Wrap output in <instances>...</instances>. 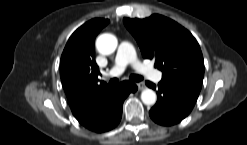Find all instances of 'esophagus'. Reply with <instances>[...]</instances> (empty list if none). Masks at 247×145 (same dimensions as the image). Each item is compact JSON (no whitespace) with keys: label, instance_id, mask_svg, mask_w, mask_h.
Here are the masks:
<instances>
[{"label":"esophagus","instance_id":"1","mask_svg":"<svg viewBox=\"0 0 247 145\" xmlns=\"http://www.w3.org/2000/svg\"><path fill=\"white\" fill-rule=\"evenodd\" d=\"M138 89L143 90L145 88V83L144 82H139L137 83Z\"/></svg>","mask_w":247,"mask_h":145}]
</instances>
